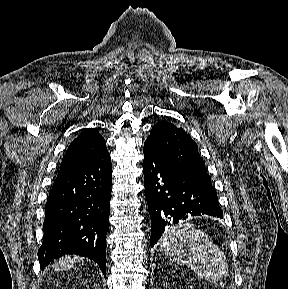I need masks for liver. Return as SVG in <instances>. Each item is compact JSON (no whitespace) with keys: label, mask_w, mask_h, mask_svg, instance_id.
<instances>
[{"label":"liver","mask_w":288,"mask_h":289,"mask_svg":"<svg viewBox=\"0 0 288 289\" xmlns=\"http://www.w3.org/2000/svg\"><path fill=\"white\" fill-rule=\"evenodd\" d=\"M80 258L75 256L72 257L71 255L62 257L58 261L55 262L54 268L59 269L61 271L69 270L73 267V264L77 261H79Z\"/></svg>","instance_id":"liver-1"}]
</instances>
